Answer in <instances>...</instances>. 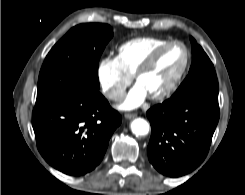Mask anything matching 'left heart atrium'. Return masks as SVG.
I'll list each match as a JSON object with an SVG mask.
<instances>
[{"mask_svg": "<svg viewBox=\"0 0 245 195\" xmlns=\"http://www.w3.org/2000/svg\"><path fill=\"white\" fill-rule=\"evenodd\" d=\"M147 92L138 83L128 93L126 99L121 105L122 109L130 110L138 107L147 97Z\"/></svg>", "mask_w": 245, "mask_h": 195, "instance_id": "1", "label": "left heart atrium"}]
</instances>
